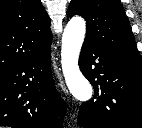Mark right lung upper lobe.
<instances>
[{"label": "right lung upper lobe", "instance_id": "cb5924a9", "mask_svg": "<svg viewBox=\"0 0 142 128\" xmlns=\"http://www.w3.org/2000/svg\"><path fill=\"white\" fill-rule=\"evenodd\" d=\"M51 40L41 0H0V74L40 54Z\"/></svg>", "mask_w": 142, "mask_h": 128}]
</instances>
